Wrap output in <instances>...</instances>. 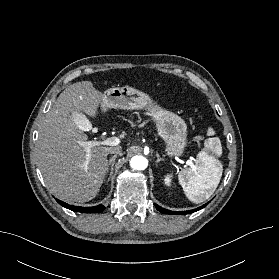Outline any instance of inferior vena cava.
I'll return each instance as SVG.
<instances>
[{
	"label": "inferior vena cava",
	"instance_id": "1",
	"mask_svg": "<svg viewBox=\"0 0 279 279\" xmlns=\"http://www.w3.org/2000/svg\"><path fill=\"white\" fill-rule=\"evenodd\" d=\"M110 154H115V155H122V148L120 146L118 147H114V148H111L110 151H109Z\"/></svg>",
	"mask_w": 279,
	"mask_h": 279
}]
</instances>
